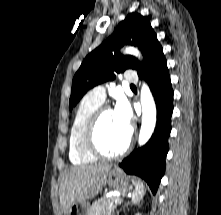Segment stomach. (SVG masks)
<instances>
[{
    "label": "stomach",
    "mask_w": 221,
    "mask_h": 215,
    "mask_svg": "<svg viewBox=\"0 0 221 215\" xmlns=\"http://www.w3.org/2000/svg\"><path fill=\"white\" fill-rule=\"evenodd\" d=\"M133 182L134 180H132V184ZM107 183L120 192H127L132 189L130 179L118 168L110 170L107 175ZM64 215H88V204L86 202H76L64 212Z\"/></svg>",
    "instance_id": "0dacf381"
}]
</instances>
